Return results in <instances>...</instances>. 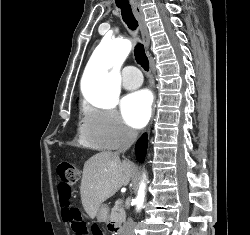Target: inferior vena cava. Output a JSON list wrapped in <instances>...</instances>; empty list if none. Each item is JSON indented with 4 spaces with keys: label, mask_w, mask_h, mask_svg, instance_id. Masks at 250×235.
<instances>
[{
    "label": "inferior vena cava",
    "mask_w": 250,
    "mask_h": 235,
    "mask_svg": "<svg viewBox=\"0 0 250 235\" xmlns=\"http://www.w3.org/2000/svg\"><path fill=\"white\" fill-rule=\"evenodd\" d=\"M137 132L134 130L124 127L122 132L121 146L116 152L117 154L124 153L136 140ZM135 222L132 218L124 223L122 228V235H134Z\"/></svg>",
    "instance_id": "inferior-vena-cava-1"
}]
</instances>
